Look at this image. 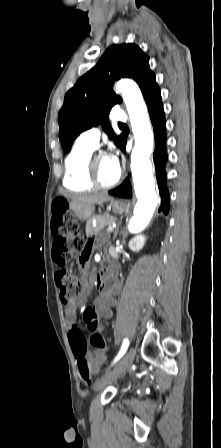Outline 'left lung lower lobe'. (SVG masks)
I'll list each match as a JSON object with an SVG mask.
<instances>
[{
    "label": "left lung lower lobe",
    "instance_id": "left-lung-lower-lobe-1",
    "mask_svg": "<svg viewBox=\"0 0 221 448\" xmlns=\"http://www.w3.org/2000/svg\"><path fill=\"white\" fill-rule=\"evenodd\" d=\"M144 99L148 106L149 115L154 129L155 136V150L153 159L156 167V177L158 181L159 192L161 196V206L159 211H163L165 214L169 212V194L166 186V172L165 163L167 160L165 142H166V122L165 114L163 110V104L161 100V92L158 86L151 89L144 95ZM126 138L120 149L125 151ZM110 195L119 196L122 198L132 197V188L130 180L127 178L119 187L110 190Z\"/></svg>",
    "mask_w": 221,
    "mask_h": 448
}]
</instances>
